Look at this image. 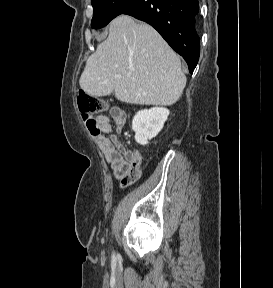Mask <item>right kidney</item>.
Returning <instances> with one entry per match:
<instances>
[{
	"label": "right kidney",
	"instance_id": "obj_1",
	"mask_svg": "<svg viewBox=\"0 0 273 288\" xmlns=\"http://www.w3.org/2000/svg\"><path fill=\"white\" fill-rule=\"evenodd\" d=\"M169 110L163 107L140 110L132 120L135 140L140 145H146L162 130L169 116Z\"/></svg>",
	"mask_w": 273,
	"mask_h": 288
}]
</instances>
